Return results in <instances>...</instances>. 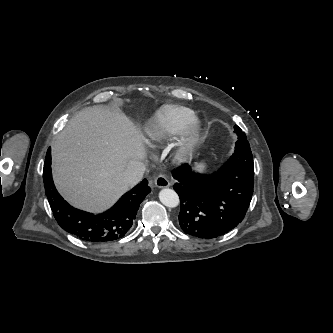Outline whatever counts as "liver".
Wrapping results in <instances>:
<instances>
[{"mask_svg":"<svg viewBox=\"0 0 333 333\" xmlns=\"http://www.w3.org/2000/svg\"><path fill=\"white\" fill-rule=\"evenodd\" d=\"M54 183L74 207L101 212L128 190L123 172L145 158L132 121L102 106L72 117L52 146Z\"/></svg>","mask_w":333,"mask_h":333,"instance_id":"6515ba94","label":"liver"}]
</instances>
